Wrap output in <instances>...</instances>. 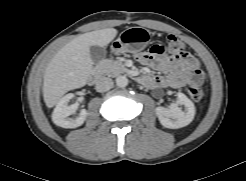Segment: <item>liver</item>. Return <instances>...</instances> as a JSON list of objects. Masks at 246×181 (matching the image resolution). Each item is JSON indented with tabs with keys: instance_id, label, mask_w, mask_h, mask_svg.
Returning <instances> with one entry per match:
<instances>
[{
	"instance_id": "obj_1",
	"label": "liver",
	"mask_w": 246,
	"mask_h": 181,
	"mask_svg": "<svg viewBox=\"0 0 246 181\" xmlns=\"http://www.w3.org/2000/svg\"><path fill=\"white\" fill-rule=\"evenodd\" d=\"M116 35L114 28L81 34L55 54L43 80V98L48 108L55 106L68 91L86 85L93 70L90 46H107Z\"/></svg>"
}]
</instances>
